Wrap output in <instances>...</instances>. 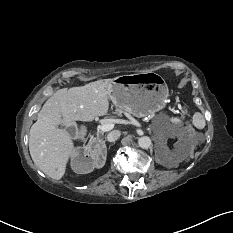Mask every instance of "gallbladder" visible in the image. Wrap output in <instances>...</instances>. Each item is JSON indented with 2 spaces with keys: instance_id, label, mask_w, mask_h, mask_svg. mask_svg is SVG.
<instances>
[{
  "instance_id": "gallbladder-1",
  "label": "gallbladder",
  "mask_w": 233,
  "mask_h": 233,
  "mask_svg": "<svg viewBox=\"0 0 233 233\" xmlns=\"http://www.w3.org/2000/svg\"><path fill=\"white\" fill-rule=\"evenodd\" d=\"M65 130H66L70 135H75V128H74V127H66Z\"/></svg>"
}]
</instances>
